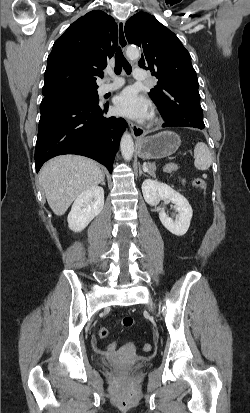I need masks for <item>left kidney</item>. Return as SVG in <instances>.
Listing matches in <instances>:
<instances>
[{
    "instance_id": "1",
    "label": "left kidney",
    "mask_w": 250,
    "mask_h": 413,
    "mask_svg": "<svg viewBox=\"0 0 250 413\" xmlns=\"http://www.w3.org/2000/svg\"><path fill=\"white\" fill-rule=\"evenodd\" d=\"M142 193L145 201L156 206L160 200H168L174 204L178 212L175 220L170 218L163 209L157 208L163 226L176 236H183L189 229L192 218V208L188 200L169 185L157 180L146 179L142 183Z\"/></svg>"
}]
</instances>
